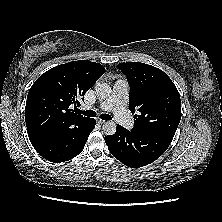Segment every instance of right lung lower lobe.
I'll use <instances>...</instances> for the list:
<instances>
[{"instance_id":"98d812e1","label":"right lung lower lobe","mask_w":222,"mask_h":222,"mask_svg":"<svg viewBox=\"0 0 222 222\" xmlns=\"http://www.w3.org/2000/svg\"><path fill=\"white\" fill-rule=\"evenodd\" d=\"M96 120H90L80 128L58 132L49 138L38 141L33 145L35 150L46 160L54 163L68 161L84 149L90 132L95 128Z\"/></svg>"}]
</instances>
